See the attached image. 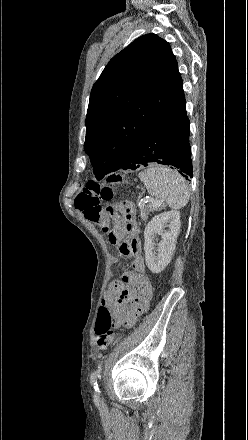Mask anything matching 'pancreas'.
<instances>
[{
    "label": "pancreas",
    "mask_w": 248,
    "mask_h": 440,
    "mask_svg": "<svg viewBox=\"0 0 248 440\" xmlns=\"http://www.w3.org/2000/svg\"><path fill=\"white\" fill-rule=\"evenodd\" d=\"M158 210H160L159 207H154L152 204L147 205L145 208L142 209L141 219L146 220L150 212H154Z\"/></svg>",
    "instance_id": "obj_1"
}]
</instances>
